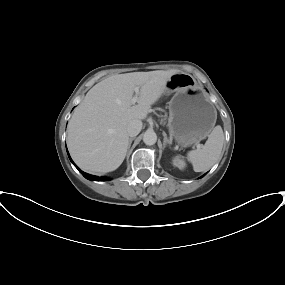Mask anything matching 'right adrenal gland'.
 <instances>
[{
	"label": "right adrenal gland",
	"instance_id": "obj_1",
	"mask_svg": "<svg viewBox=\"0 0 285 285\" xmlns=\"http://www.w3.org/2000/svg\"><path fill=\"white\" fill-rule=\"evenodd\" d=\"M134 139H135L134 137H133V138H130V139H129L128 150L130 149V147H131V144H132V141H133Z\"/></svg>",
	"mask_w": 285,
	"mask_h": 285
}]
</instances>
